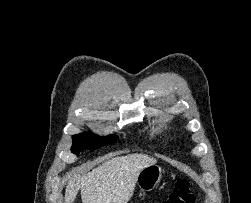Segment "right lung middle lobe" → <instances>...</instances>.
<instances>
[{
	"instance_id": "obj_1",
	"label": "right lung middle lobe",
	"mask_w": 251,
	"mask_h": 203,
	"mask_svg": "<svg viewBox=\"0 0 251 203\" xmlns=\"http://www.w3.org/2000/svg\"><path fill=\"white\" fill-rule=\"evenodd\" d=\"M73 144L71 147V151L74 154H79L82 150H91L94 151L96 148H100L101 146L108 143H115L118 139V136L110 135L106 138L97 137L95 135L90 134H77L72 137Z\"/></svg>"
}]
</instances>
